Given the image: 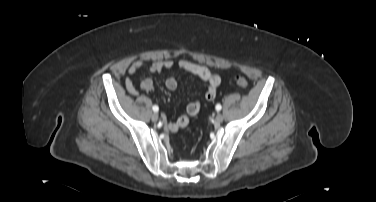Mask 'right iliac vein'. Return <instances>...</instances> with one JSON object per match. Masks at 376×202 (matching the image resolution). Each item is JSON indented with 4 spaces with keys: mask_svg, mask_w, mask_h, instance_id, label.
<instances>
[{
    "mask_svg": "<svg viewBox=\"0 0 376 202\" xmlns=\"http://www.w3.org/2000/svg\"><path fill=\"white\" fill-rule=\"evenodd\" d=\"M159 116L157 113H153L152 116H151V119L153 122H156L158 120Z\"/></svg>",
    "mask_w": 376,
    "mask_h": 202,
    "instance_id": "obj_1",
    "label": "right iliac vein"
}]
</instances>
